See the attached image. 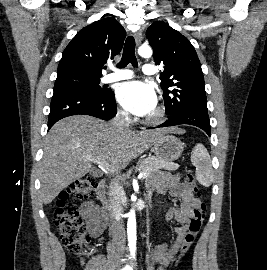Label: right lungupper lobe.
<instances>
[{
    "label": "right lung upper lobe",
    "mask_w": 267,
    "mask_h": 270,
    "mask_svg": "<svg viewBox=\"0 0 267 270\" xmlns=\"http://www.w3.org/2000/svg\"><path fill=\"white\" fill-rule=\"evenodd\" d=\"M126 32L114 18L93 22L81 29L63 51L57 77L82 75L100 78L108 59L119 54Z\"/></svg>",
    "instance_id": "right-lung-upper-lobe-1"
}]
</instances>
